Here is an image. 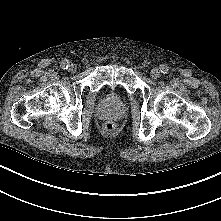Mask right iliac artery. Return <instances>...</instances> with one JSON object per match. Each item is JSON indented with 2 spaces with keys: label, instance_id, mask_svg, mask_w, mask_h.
<instances>
[{
  "label": "right iliac artery",
  "instance_id": "1",
  "mask_svg": "<svg viewBox=\"0 0 221 221\" xmlns=\"http://www.w3.org/2000/svg\"><path fill=\"white\" fill-rule=\"evenodd\" d=\"M61 67H62L63 69H68V67H69V62H68V60L62 61Z\"/></svg>",
  "mask_w": 221,
  "mask_h": 221
}]
</instances>
